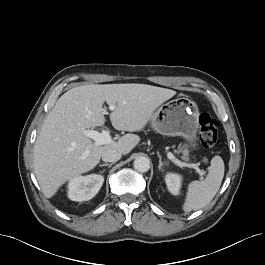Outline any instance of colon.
Wrapping results in <instances>:
<instances>
[{"mask_svg":"<svg viewBox=\"0 0 265 265\" xmlns=\"http://www.w3.org/2000/svg\"><path fill=\"white\" fill-rule=\"evenodd\" d=\"M217 121L208 113H202L199 117V137L202 145L212 147L217 140Z\"/></svg>","mask_w":265,"mask_h":265,"instance_id":"colon-1","label":"colon"}]
</instances>
